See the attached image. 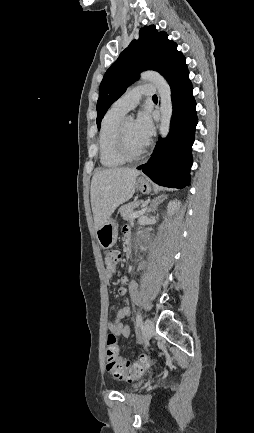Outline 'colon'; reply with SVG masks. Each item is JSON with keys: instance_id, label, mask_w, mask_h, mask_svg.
<instances>
[{"instance_id": "1", "label": "colon", "mask_w": 254, "mask_h": 433, "mask_svg": "<svg viewBox=\"0 0 254 433\" xmlns=\"http://www.w3.org/2000/svg\"><path fill=\"white\" fill-rule=\"evenodd\" d=\"M104 269L107 274H115L117 271L119 253L115 250H107L103 254ZM119 348L116 336L108 334L106 340V370L119 380L130 381L140 377L149 365L146 355H141L134 362L122 359L118 355Z\"/></svg>"}]
</instances>
